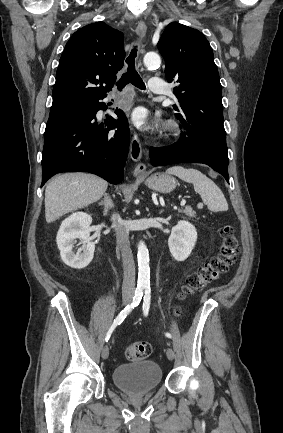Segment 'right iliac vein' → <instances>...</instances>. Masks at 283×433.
I'll use <instances>...</instances> for the list:
<instances>
[{
    "mask_svg": "<svg viewBox=\"0 0 283 433\" xmlns=\"http://www.w3.org/2000/svg\"><path fill=\"white\" fill-rule=\"evenodd\" d=\"M130 302H131V298L129 296H124V298L122 299V304L124 306L128 305ZM101 354H102L103 359H107L108 358V356H109V347H108V345H105L103 347Z\"/></svg>",
    "mask_w": 283,
    "mask_h": 433,
    "instance_id": "63e3f726",
    "label": "right iliac vein"
}]
</instances>
